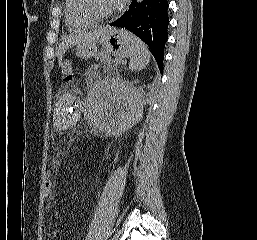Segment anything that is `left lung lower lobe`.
<instances>
[{"label":"left lung lower lobe","instance_id":"left-lung-lower-lobe-1","mask_svg":"<svg viewBox=\"0 0 257 240\" xmlns=\"http://www.w3.org/2000/svg\"><path fill=\"white\" fill-rule=\"evenodd\" d=\"M167 0H133L129 9L110 26L125 28L144 41L163 72L164 47L168 39Z\"/></svg>","mask_w":257,"mask_h":240}]
</instances>
